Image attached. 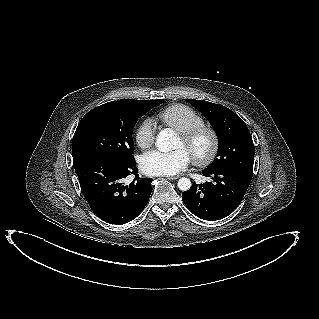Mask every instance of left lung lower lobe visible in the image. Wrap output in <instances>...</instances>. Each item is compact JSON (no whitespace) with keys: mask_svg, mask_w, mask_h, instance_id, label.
Instances as JSON below:
<instances>
[{"mask_svg":"<svg viewBox=\"0 0 319 319\" xmlns=\"http://www.w3.org/2000/svg\"><path fill=\"white\" fill-rule=\"evenodd\" d=\"M213 182L194 183L182 193L186 207L203 220H219L230 215L242 201L252 176L236 170H203Z\"/></svg>","mask_w":319,"mask_h":319,"instance_id":"obj_1","label":"left lung lower lobe"}]
</instances>
